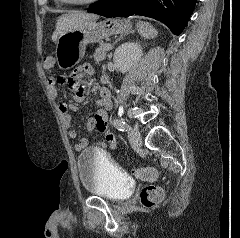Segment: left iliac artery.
Listing matches in <instances>:
<instances>
[{
    "label": "left iliac artery",
    "instance_id": "left-iliac-artery-1",
    "mask_svg": "<svg viewBox=\"0 0 240 238\" xmlns=\"http://www.w3.org/2000/svg\"><path fill=\"white\" fill-rule=\"evenodd\" d=\"M113 124H114V126H115L117 129H119L120 131H128V130L131 129V128L129 127V125H127L125 122L120 121V120H118V119H115V120L113 121Z\"/></svg>",
    "mask_w": 240,
    "mask_h": 238
}]
</instances>
